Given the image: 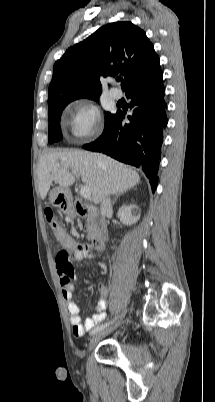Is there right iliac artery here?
I'll return each mask as SVG.
<instances>
[{
    "mask_svg": "<svg viewBox=\"0 0 215 402\" xmlns=\"http://www.w3.org/2000/svg\"><path fill=\"white\" fill-rule=\"evenodd\" d=\"M112 322H113V321H112ZM112 322H110V323H105V324H102V325L97 326L94 330H92L91 335H94V334H96L97 332L103 330L104 328H106L107 326H109Z\"/></svg>",
    "mask_w": 215,
    "mask_h": 402,
    "instance_id": "82829eb1",
    "label": "right iliac artery"
}]
</instances>
